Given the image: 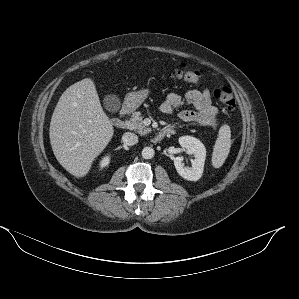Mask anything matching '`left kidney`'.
Wrapping results in <instances>:
<instances>
[{"label": "left kidney", "instance_id": "5707ae66", "mask_svg": "<svg viewBox=\"0 0 299 299\" xmlns=\"http://www.w3.org/2000/svg\"><path fill=\"white\" fill-rule=\"evenodd\" d=\"M178 141L181 147L195 158L192 161V167L184 166L182 157L174 158V166L178 174L188 181L199 180L202 176L206 159L205 146L199 139L192 136H182Z\"/></svg>", "mask_w": 299, "mask_h": 299}]
</instances>
